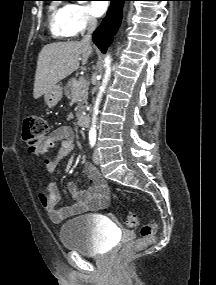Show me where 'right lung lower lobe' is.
Instances as JSON below:
<instances>
[{"mask_svg": "<svg viewBox=\"0 0 216 285\" xmlns=\"http://www.w3.org/2000/svg\"><path fill=\"white\" fill-rule=\"evenodd\" d=\"M111 5L107 16L101 25L93 33V41L96 46L105 53L112 42V35L117 32L122 19V8L124 1L128 0H110Z\"/></svg>", "mask_w": 216, "mask_h": 285, "instance_id": "obj_1", "label": "right lung lower lobe"}]
</instances>
